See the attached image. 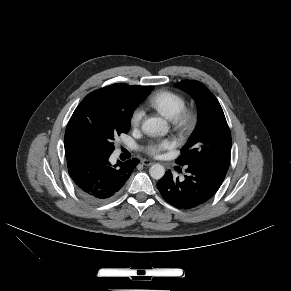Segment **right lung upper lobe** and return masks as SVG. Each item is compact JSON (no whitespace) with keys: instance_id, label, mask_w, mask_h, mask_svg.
Instances as JSON below:
<instances>
[{"instance_id":"right-lung-upper-lobe-1","label":"right lung upper lobe","mask_w":291,"mask_h":291,"mask_svg":"<svg viewBox=\"0 0 291 291\" xmlns=\"http://www.w3.org/2000/svg\"><path fill=\"white\" fill-rule=\"evenodd\" d=\"M152 86H129L123 83L113 84L96 90L85 98L104 109L131 111L150 92ZM71 152H65L66 155Z\"/></svg>"}]
</instances>
